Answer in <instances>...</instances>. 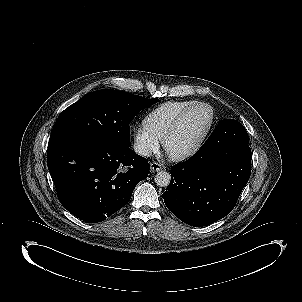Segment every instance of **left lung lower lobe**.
Here are the masks:
<instances>
[{
  "mask_svg": "<svg viewBox=\"0 0 302 302\" xmlns=\"http://www.w3.org/2000/svg\"><path fill=\"white\" fill-rule=\"evenodd\" d=\"M249 146L229 152L200 148L171 168L163 193L166 207L188 225L201 227L225 217L235 207L251 173Z\"/></svg>",
  "mask_w": 302,
  "mask_h": 302,
  "instance_id": "0a47b994",
  "label": "left lung lower lobe"
}]
</instances>
